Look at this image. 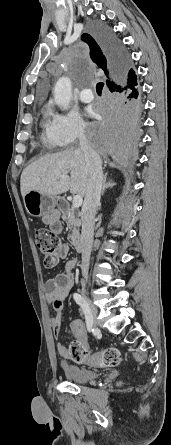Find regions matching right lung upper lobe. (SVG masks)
<instances>
[{
	"instance_id": "obj_1",
	"label": "right lung upper lobe",
	"mask_w": 171,
	"mask_h": 445,
	"mask_svg": "<svg viewBox=\"0 0 171 445\" xmlns=\"http://www.w3.org/2000/svg\"><path fill=\"white\" fill-rule=\"evenodd\" d=\"M82 40L89 45L90 57L92 61L101 69L104 70L107 76V86L108 88H113L119 81V73L109 59L103 44L101 43L99 37L96 40L89 34H83ZM131 74L135 75V71L131 69Z\"/></svg>"
}]
</instances>
